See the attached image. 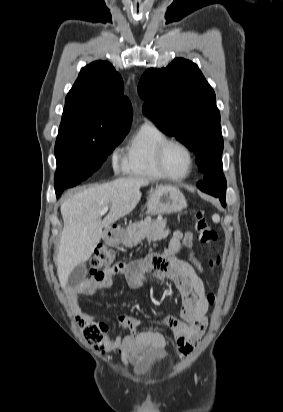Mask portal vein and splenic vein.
I'll use <instances>...</instances> for the list:
<instances>
[{
	"label": "portal vein and splenic vein",
	"mask_w": 283,
	"mask_h": 412,
	"mask_svg": "<svg viewBox=\"0 0 283 412\" xmlns=\"http://www.w3.org/2000/svg\"><path fill=\"white\" fill-rule=\"evenodd\" d=\"M108 209H109V207H104L100 212V216H103L104 214H106Z\"/></svg>",
	"instance_id": "18ae733b"
}]
</instances>
